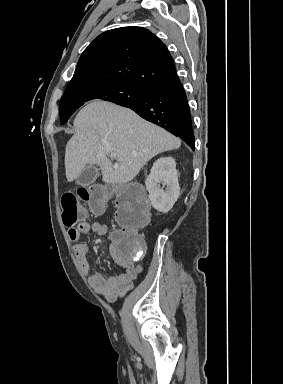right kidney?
<instances>
[{"mask_svg":"<svg viewBox=\"0 0 283 384\" xmlns=\"http://www.w3.org/2000/svg\"><path fill=\"white\" fill-rule=\"evenodd\" d=\"M145 184L153 208L158 210V212H162V214H167L180 196L174 158H160V160H156L148 178H146ZM161 184L165 190L161 188Z\"/></svg>","mask_w":283,"mask_h":384,"instance_id":"ca27d5eb","label":"right kidney"}]
</instances>
